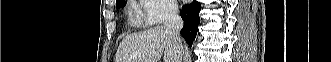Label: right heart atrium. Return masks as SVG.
Returning <instances> with one entry per match:
<instances>
[{"mask_svg":"<svg viewBox=\"0 0 331 62\" xmlns=\"http://www.w3.org/2000/svg\"><path fill=\"white\" fill-rule=\"evenodd\" d=\"M139 4L145 25L160 24L176 14V4L171 0H141Z\"/></svg>","mask_w":331,"mask_h":62,"instance_id":"right-heart-atrium-1","label":"right heart atrium"}]
</instances>
